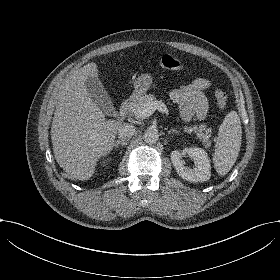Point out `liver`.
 <instances>
[{
    "instance_id": "1",
    "label": "liver",
    "mask_w": 280,
    "mask_h": 280,
    "mask_svg": "<svg viewBox=\"0 0 280 280\" xmlns=\"http://www.w3.org/2000/svg\"><path fill=\"white\" fill-rule=\"evenodd\" d=\"M88 77H98L95 63L72 72L61 84L55 99L51 140L58 164L74 178L88 180L100 157L113 149L122 122L105 120L103 111L87 91Z\"/></svg>"
}]
</instances>
